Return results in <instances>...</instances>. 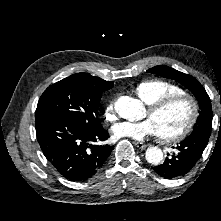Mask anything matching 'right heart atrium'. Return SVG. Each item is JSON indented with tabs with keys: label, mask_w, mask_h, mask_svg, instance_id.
I'll return each mask as SVG.
<instances>
[{
	"label": "right heart atrium",
	"mask_w": 221,
	"mask_h": 221,
	"mask_svg": "<svg viewBox=\"0 0 221 221\" xmlns=\"http://www.w3.org/2000/svg\"><path fill=\"white\" fill-rule=\"evenodd\" d=\"M104 117L108 122H114L116 120V114L114 109V100L108 102L105 107Z\"/></svg>",
	"instance_id": "d8ad5b80"
}]
</instances>
